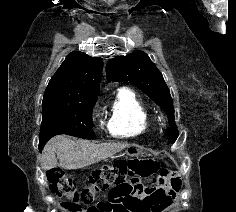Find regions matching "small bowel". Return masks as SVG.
<instances>
[{
    "label": "small bowel",
    "instance_id": "1",
    "mask_svg": "<svg viewBox=\"0 0 236 212\" xmlns=\"http://www.w3.org/2000/svg\"><path fill=\"white\" fill-rule=\"evenodd\" d=\"M160 186L149 188L154 175H127L115 179L114 187L108 190L107 199H98L87 212H162L175 198L179 184L173 173L162 169L159 174Z\"/></svg>",
    "mask_w": 236,
    "mask_h": 212
}]
</instances>
